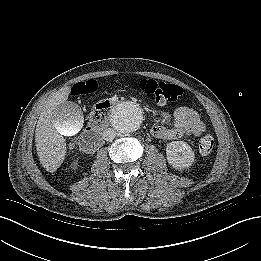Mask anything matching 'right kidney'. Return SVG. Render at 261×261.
<instances>
[{
    "label": "right kidney",
    "instance_id": "ca27d5eb",
    "mask_svg": "<svg viewBox=\"0 0 261 261\" xmlns=\"http://www.w3.org/2000/svg\"><path fill=\"white\" fill-rule=\"evenodd\" d=\"M76 168H77V165H74V166H73V169H76Z\"/></svg>",
    "mask_w": 261,
    "mask_h": 261
}]
</instances>
